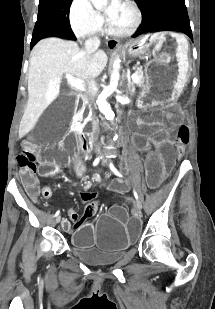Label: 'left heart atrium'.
Instances as JSON below:
<instances>
[{"label": "left heart atrium", "instance_id": "39dd6f15", "mask_svg": "<svg viewBox=\"0 0 215 309\" xmlns=\"http://www.w3.org/2000/svg\"><path fill=\"white\" fill-rule=\"evenodd\" d=\"M113 5H119V0H116V2H113ZM120 13H121L120 9L108 11L106 14V20H118Z\"/></svg>", "mask_w": 215, "mask_h": 309}]
</instances>
